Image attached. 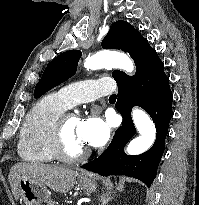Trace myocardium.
<instances>
[{"instance_id":"1","label":"myocardium","mask_w":199,"mask_h":205,"mask_svg":"<svg viewBox=\"0 0 199 205\" xmlns=\"http://www.w3.org/2000/svg\"><path fill=\"white\" fill-rule=\"evenodd\" d=\"M70 115L71 113L64 112L59 116L52 128L48 142L49 151L54 159L64 163H74L80 161L85 159L90 153L88 148H84L76 153H69L65 149L64 132L66 122Z\"/></svg>"}]
</instances>
